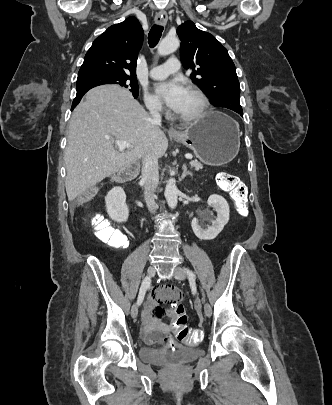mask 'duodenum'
<instances>
[{
	"instance_id": "duodenum-1",
	"label": "duodenum",
	"mask_w": 332,
	"mask_h": 405,
	"mask_svg": "<svg viewBox=\"0 0 332 405\" xmlns=\"http://www.w3.org/2000/svg\"><path fill=\"white\" fill-rule=\"evenodd\" d=\"M134 175L135 174L133 171L124 172V173L120 174L119 182L124 183V182L131 181L134 178Z\"/></svg>"
}]
</instances>
